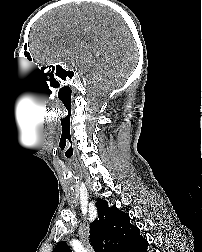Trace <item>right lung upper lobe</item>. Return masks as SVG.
Segmentation results:
<instances>
[{
  "label": "right lung upper lobe",
  "mask_w": 202,
  "mask_h": 252,
  "mask_svg": "<svg viewBox=\"0 0 202 252\" xmlns=\"http://www.w3.org/2000/svg\"><path fill=\"white\" fill-rule=\"evenodd\" d=\"M98 218L90 225L89 241L96 252H135L147 240L139 234V228L130 224L128 213L107 201L96 203ZM53 252H71L66 242H60Z\"/></svg>",
  "instance_id": "1"
}]
</instances>
